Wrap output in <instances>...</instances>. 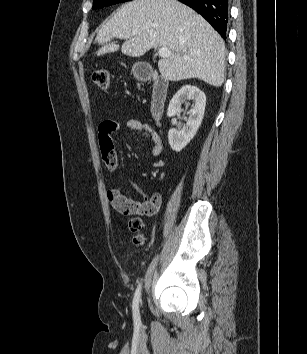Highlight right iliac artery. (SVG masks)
I'll list each match as a JSON object with an SVG mask.
<instances>
[{"label": "right iliac artery", "instance_id": "obj_1", "mask_svg": "<svg viewBox=\"0 0 307 354\" xmlns=\"http://www.w3.org/2000/svg\"><path fill=\"white\" fill-rule=\"evenodd\" d=\"M140 296H141V284H139L136 289V292L134 294L133 304H132L133 318L135 323L140 322V313H139Z\"/></svg>", "mask_w": 307, "mask_h": 354}]
</instances>
